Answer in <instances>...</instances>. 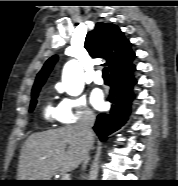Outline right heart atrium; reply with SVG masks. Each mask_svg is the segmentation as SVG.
I'll return each instance as SVG.
<instances>
[{"mask_svg":"<svg viewBox=\"0 0 178 186\" xmlns=\"http://www.w3.org/2000/svg\"><path fill=\"white\" fill-rule=\"evenodd\" d=\"M58 115L62 123L69 124L91 122L95 118L83 96L64 97L58 106Z\"/></svg>","mask_w":178,"mask_h":186,"instance_id":"d8ad5b80","label":"right heart atrium"}]
</instances>
